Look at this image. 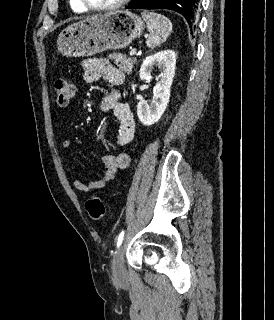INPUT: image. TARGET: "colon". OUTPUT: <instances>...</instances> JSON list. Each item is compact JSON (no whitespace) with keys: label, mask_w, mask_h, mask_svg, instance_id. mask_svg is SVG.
Masks as SVG:
<instances>
[{"label":"colon","mask_w":274,"mask_h":320,"mask_svg":"<svg viewBox=\"0 0 274 320\" xmlns=\"http://www.w3.org/2000/svg\"><path fill=\"white\" fill-rule=\"evenodd\" d=\"M53 88L56 104L59 107H67L74 95L73 84L60 78L54 81ZM85 209L94 221H101L105 217V204L98 197L88 198L85 202Z\"/></svg>","instance_id":"5ec220e1"}]
</instances>
